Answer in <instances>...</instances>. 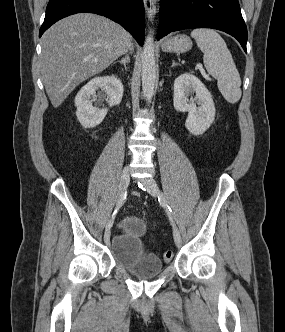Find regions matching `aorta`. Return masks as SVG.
I'll return each instance as SVG.
<instances>
[{"instance_id": "1", "label": "aorta", "mask_w": 285, "mask_h": 332, "mask_svg": "<svg viewBox=\"0 0 285 332\" xmlns=\"http://www.w3.org/2000/svg\"><path fill=\"white\" fill-rule=\"evenodd\" d=\"M142 90L147 102H151L156 80V63L154 54V38L152 32L145 39L142 54Z\"/></svg>"}]
</instances>
